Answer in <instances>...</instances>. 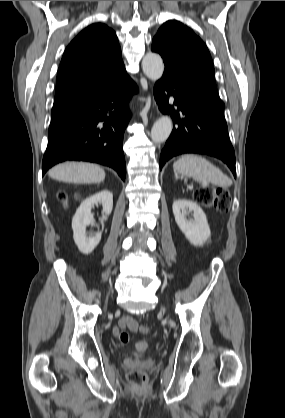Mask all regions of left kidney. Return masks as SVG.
Wrapping results in <instances>:
<instances>
[{
	"instance_id": "1",
	"label": "left kidney",
	"mask_w": 285,
	"mask_h": 418,
	"mask_svg": "<svg viewBox=\"0 0 285 418\" xmlns=\"http://www.w3.org/2000/svg\"><path fill=\"white\" fill-rule=\"evenodd\" d=\"M175 221L185 237L194 246H202L210 237V227L203 210L193 201L178 199L172 205ZM193 213V219H187L188 213Z\"/></svg>"
}]
</instances>
